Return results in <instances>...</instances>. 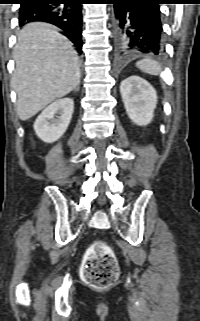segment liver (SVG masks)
Here are the masks:
<instances>
[{
    "instance_id": "liver-1",
    "label": "liver",
    "mask_w": 200,
    "mask_h": 321,
    "mask_svg": "<svg viewBox=\"0 0 200 321\" xmlns=\"http://www.w3.org/2000/svg\"><path fill=\"white\" fill-rule=\"evenodd\" d=\"M12 87L22 121L36 115L80 83V64L71 41L46 23H30L17 36Z\"/></svg>"
}]
</instances>
